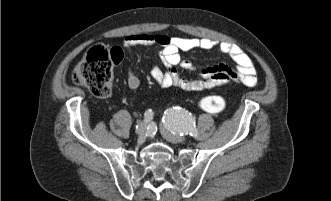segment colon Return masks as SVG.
I'll list each match as a JSON object with an SVG mask.
<instances>
[{"label":"colon","mask_w":331,"mask_h":201,"mask_svg":"<svg viewBox=\"0 0 331 201\" xmlns=\"http://www.w3.org/2000/svg\"><path fill=\"white\" fill-rule=\"evenodd\" d=\"M119 57L118 50L92 46L74 68L73 82L87 87L97 97H107L113 87V65ZM199 107L205 112L217 114L227 108V101L219 95L206 96L199 101Z\"/></svg>","instance_id":"colon-1"}]
</instances>
